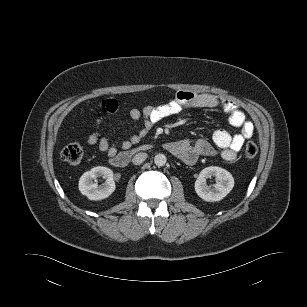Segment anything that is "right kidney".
I'll use <instances>...</instances> for the list:
<instances>
[{"label":"right kidney","instance_id":"right-kidney-1","mask_svg":"<svg viewBox=\"0 0 307 307\" xmlns=\"http://www.w3.org/2000/svg\"><path fill=\"white\" fill-rule=\"evenodd\" d=\"M98 177L106 179L103 185L98 186L93 182ZM115 188L112 170L103 166L94 167L85 172L79 180L80 192L90 200L105 199L114 192Z\"/></svg>","mask_w":307,"mask_h":307}]
</instances>
